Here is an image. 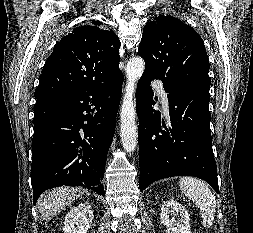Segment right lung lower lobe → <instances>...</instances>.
<instances>
[{
  "mask_svg": "<svg viewBox=\"0 0 253 233\" xmlns=\"http://www.w3.org/2000/svg\"><path fill=\"white\" fill-rule=\"evenodd\" d=\"M123 74L36 99L32 140L33 203L57 186H88L105 196L102 180L115 132Z\"/></svg>",
  "mask_w": 253,
  "mask_h": 233,
  "instance_id": "right-lung-lower-lobe-1",
  "label": "right lung lower lobe"
}]
</instances>
